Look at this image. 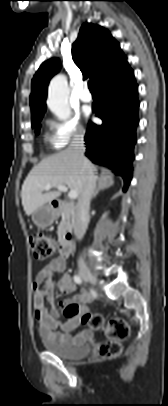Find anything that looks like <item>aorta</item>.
<instances>
[{
  "label": "aorta",
  "instance_id": "obj_1",
  "mask_svg": "<svg viewBox=\"0 0 168 406\" xmlns=\"http://www.w3.org/2000/svg\"><path fill=\"white\" fill-rule=\"evenodd\" d=\"M69 88L64 75H56L50 81L47 106L59 120H67L71 115L68 103Z\"/></svg>",
  "mask_w": 168,
  "mask_h": 406
}]
</instances>
